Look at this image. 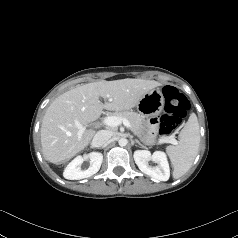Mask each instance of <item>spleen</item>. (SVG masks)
Returning a JSON list of instances; mask_svg holds the SVG:
<instances>
[{
  "instance_id": "1",
  "label": "spleen",
  "mask_w": 238,
  "mask_h": 238,
  "mask_svg": "<svg viewBox=\"0 0 238 238\" xmlns=\"http://www.w3.org/2000/svg\"><path fill=\"white\" fill-rule=\"evenodd\" d=\"M199 143V124L196 114L192 113L179 134V145H170L166 148L174 168V178H180L191 168L198 154Z\"/></svg>"
}]
</instances>
